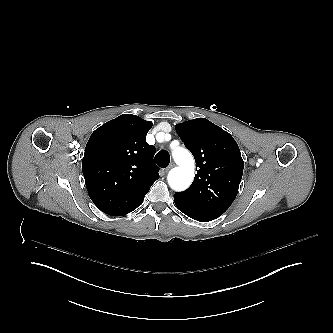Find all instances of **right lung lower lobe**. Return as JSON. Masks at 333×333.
<instances>
[{"label": "right lung lower lobe", "mask_w": 333, "mask_h": 333, "mask_svg": "<svg viewBox=\"0 0 333 333\" xmlns=\"http://www.w3.org/2000/svg\"><path fill=\"white\" fill-rule=\"evenodd\" d=\"M83 175L88 193L92 190L101 191L91 198L94 204L112 216H123L139 207L155 181L131 177L114 183L109 165L102 159L93 161L83 171Z\"/></svg>", "instance_id": "obj_1"}]
</instances>
